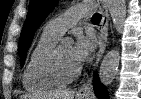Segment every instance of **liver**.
<instances>
[{
  "label": "liver",
  "instance_id": "liver-1",
  "mask_svg": "<svg viewBox=\"0 0 141 99\" xmlns=\"http://www.w3.org/2000/svg\"><path fill=\"white\" fill-rule=\"evenodd\" d=\"M73 90H59L39 95L26 94L20 97V99H73Z\"/></svg>",
  "mask_w": 141,
  "mask_h": 99
}]
</instances>
